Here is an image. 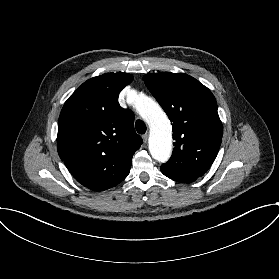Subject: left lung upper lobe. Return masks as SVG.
<instances>
[{
  "label": "left lung upper lobe",
  "mask_w": 279,
  "mask_h": 279,
  "mask_svg": "<svg viewBox=\"0 0 279 279\" xmlns=\"http://www.w3.org/2000/svg\"><path fill=\"white\" fill-rule=\"evenodd\" d=\"M144 81L173 122L175 148L161 168L193 182L210 168L221 145L216 100L207 87L184 73L146 74Z\"/></svg>",
  "instance_id": "left-lung-upper-lobe-1"
}]
</instances>
